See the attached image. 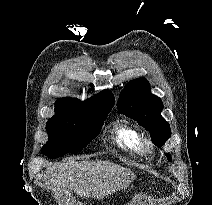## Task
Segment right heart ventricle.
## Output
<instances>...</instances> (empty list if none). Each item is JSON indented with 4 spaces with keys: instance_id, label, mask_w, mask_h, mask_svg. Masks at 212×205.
Returning a JSON list of instances; mask_svg holds the SVG:
<instances>
[{
    "instance_id": "e07e8e85",
    "label": "right heart ventricle",
    "mask_w": 212,
    "mask_h": 205,
    "mask_svg": "<svg viewBox=\"0 0 212 205\" xmlns=\"http://www.w3.org/2000/svg\"><path fill=\"white\" fill-rule=\"evenodd\" d=\"M111 138L115 145L125 151L136 152L140 148L137 131L124 121L114 125Z\"/></svg>"
}]
</instances>
